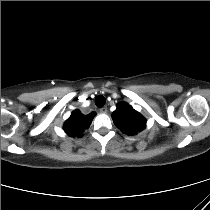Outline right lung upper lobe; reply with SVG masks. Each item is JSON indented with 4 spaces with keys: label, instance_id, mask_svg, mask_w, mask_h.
<instances>
[{
    "label": "right lung upper lobe",
    "instance_id": "cb5924a9",
    "mask_svg": "<svg viewBox=\"0 0 210 210\" xmlns=\"http://www.w3.org/2000/svg\"><path fill=\"white\" fill-rule=\"evenodd\" d=\"M95 113L83 115L79 110H75L64 124V131L72 137H81L84 129L90 126Z\"/></svg>",
    "mask_w": 210,
    "mask_h": 210
}]
</instances>
